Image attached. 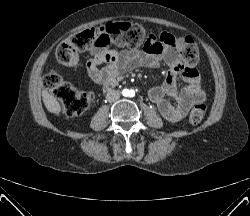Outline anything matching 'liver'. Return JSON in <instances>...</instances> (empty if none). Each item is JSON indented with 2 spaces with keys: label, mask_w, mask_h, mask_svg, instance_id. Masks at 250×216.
Instances as JSON below:
<instances>
[{
  "label": "liver",
  "mask_w": 250,
  "mask_h": 216,
  "mask_svg": "<svg viewBox=\"0 0 250 216\" xmlns=\"http://www.w3.org/2000/svg\"><path fill=\"white\" fill-rule=\"evenodd\" d=\"M43 102L47 110L51 113L59 115L61 112V106L57 99L48 93L47 90L42 91Z\"/></svg>",
  "instance_id": "obj_1"
}]
</instances>
